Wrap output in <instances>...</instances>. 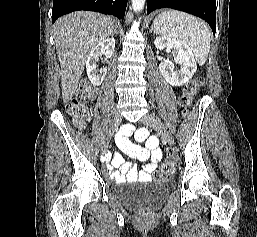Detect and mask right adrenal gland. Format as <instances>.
I'll return each instance as SVG.
<instances>
[{"label": "right adrenal gland", "mask_w": 257, "mask_h": 237, "mask_svg": "<svg viewBox=\"0 0 257 237\" xmlns=\"http://www.w3.org/2000/svg\"><path fill=\"white\" fill-rule=\"evenodd\" d=\"M115 34H119V31H118V30H116Z\"/></svg>", "instance_id": "right-adrenal-gland-1"}]
</instances>
